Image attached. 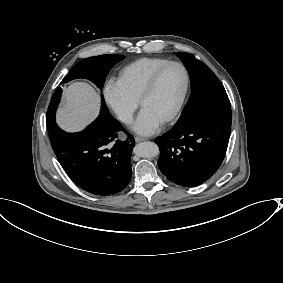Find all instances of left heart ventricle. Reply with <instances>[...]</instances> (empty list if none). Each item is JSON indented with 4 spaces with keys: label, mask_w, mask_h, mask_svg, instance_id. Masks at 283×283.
<instances>
[{
    "label": "left heart ventricle",
    "mask_w": 283,
    "mask_h": 283,
    "mask_svg": "<svg viewBox=\"0 0 283 283\" xmlns=\"http://www.w3.org/2000/svg\"><path fill=\"white\" fill-rule=\"evenodd\" d=\"M184 84L182 68L178 65L169 67L158 79L153 92L142 102L141 108L163 120L176 107Z\"/></svg>",
    "instance_id": "left-heart-ventricle-1"
}]
</instances>
